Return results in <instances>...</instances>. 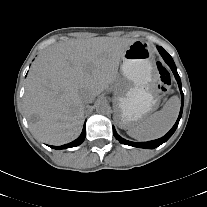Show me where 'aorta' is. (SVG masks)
Listing matches in <instances>:
<instances>
[{"label": "aorta", "instance_id": "1", "mask_svg": "<svg viewBox=\"0 0 207 207\" xmlns=\"http://www.w3.org/2000/svg\"><path fill=\"white\" fill-rule=\"evenodd\" d=\"M96 111L99 114L106 115V114L110 113L111 107L109 106V104H107L105 102H100L96 106Z\"/></svg>", "mask_w": 207, "mask_h": 207}]
</instances>
